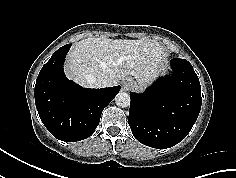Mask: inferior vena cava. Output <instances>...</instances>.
I'll use <instances>...</instances> for the list:
<instances>
[{
	"label": "inferior vena cava",
	"instance_id": "inferior-vena-cava-1",
	"mask_svg": "<svg viewBox=\"0 0 236 178\" xmlns=\"http://www.w3.org/2000/svg\"><path fill=\"white\" fill-rule=\"evenodd\" d=\"M89 82L93 83L95 87L102 88L109 85V79L106 77H89Z\"/></svg>",
	"mask_w": 236,
	"mask_h": 178
}]
</instances>
